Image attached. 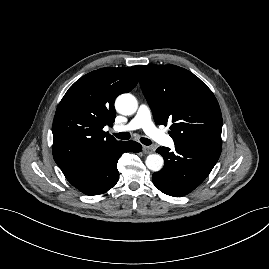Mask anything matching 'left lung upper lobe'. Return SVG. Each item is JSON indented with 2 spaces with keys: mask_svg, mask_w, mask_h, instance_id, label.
I'll return each mask as SVG.
<instances>
[{
  "mask_svg": "<svg viewBox=\"0 0 269 269\" xmlns=\"http://www.w3.org/2000/svg\"><path fill=\"white\" fill-rule=\"evenodd\" d=\"M140 86L156 124L172 121L175 144L222 148V115L212 91L193 73L175 65H144Z\"/></svg>",
  "mask_w": 269,
  "mask_h": 269,
  "instance_id": "1",
  "label": "left lung upper lobe"
}]
</instances>
